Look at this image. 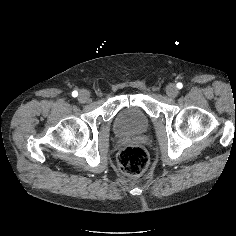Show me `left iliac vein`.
<instances>
[{"label": "left iliac vein", "mask_w": 236, "mask_h": 236, "mask_svg": "<svg viewBox=\"0 0 236 236\" xmlns=\"http://www.w3.org/2000/svg\"><path fill=\"white\" fill-rule=\"evenodd\" d=\"M166 93L169 97L175 98L178 95V89L174 84H169L166 87Z\"/></svg>", "instance_id": "1"}]
</instances>
